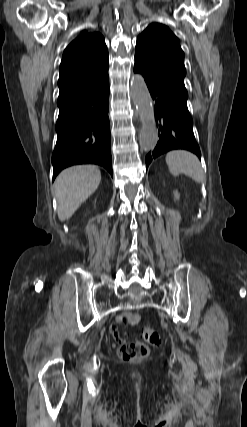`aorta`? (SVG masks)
Instances as JSON below:
<instances>
[{"label": "aorta", "instance_id": "1", "mask_svg": "<svg viewBox=\"0 0 247 427\" xmlns=\"http://www.w3.org/2000/svg\"><path fill=\"white\" fill-rule=\"evenodd\" d=\"M130 93L142 123L139 134L140 147L144 151H151L155 148L159 138L152 99L144 78L140 74L132 77Z\"/></svg>", "mask_w": 247, "mask_h": 427}]
</instances>
